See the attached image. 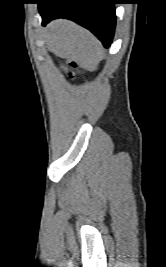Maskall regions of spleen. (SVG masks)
<instances>
[{
  "instance_id": "obj_1",
  "label": "spleen",
  "mask_w": 166,
  "mask_h": 267,
  "mask_svg": "<svg viewBox=\"0 0 166 267\" xmlns=\"http://www.w3.org/2000/svg\"><path fill=\"white\" fill-rule=\"evenodd\" d=\"M51 50L94 71L102 58V45L89 31L68 21L53 23L47 34Z\"/></svg>"
}]
</instances>
